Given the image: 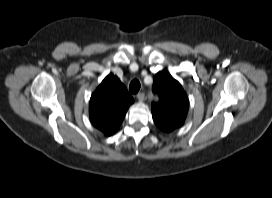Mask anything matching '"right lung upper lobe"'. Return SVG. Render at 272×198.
Listing matches in <instances>:
<instances>
[{
  "instance_id": "right-lung-upper-lobe-1",
  "label": "right lung upper lobe",
  "mask_w": 272,
  "mask_h": 198,
  "mask_svg": "<svg viewBox=\"0 0 272 198\" xmlns=\"http://www.w3.org/2000/svg\"><path fill=\"white\" fill-rule=\"evenodd\" d=\"M133 101L120 80L112 74L108 75L91 96V123L107 136L114 134Z\"/></svg>"
}]
</instances>
